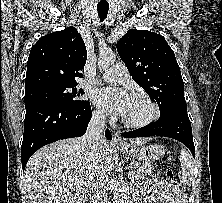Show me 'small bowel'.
I'll return each instance as SVG.
<instances>
[{
  "label": "small bowel",
  "instance_id": "1",
  "mask_svg": "<svg viewBox=\"0 0 222 203\" xmlns=\"http://www.w3.org/2000/svg\"><path fill=\"white\" fill-rule=\"evenodd\" d=\"M149 203H185V194L182 188L165 182H151L145 189ZM138 200L136 203H143Z\"/></svg>",
  "mask_w": 222,
  "mask_h": 203
}]
</instances>
